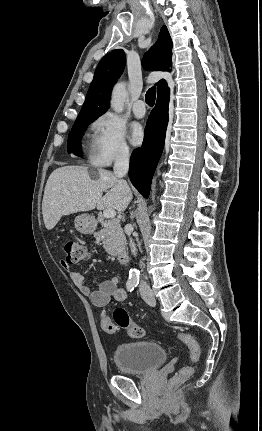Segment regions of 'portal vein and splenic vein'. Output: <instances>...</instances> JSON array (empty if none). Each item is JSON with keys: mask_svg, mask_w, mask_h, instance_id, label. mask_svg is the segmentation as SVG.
<instances>
[{"mask_svg": "<svg viewBox=\"0 0 262 431\" xmlns=\"http://www.w3.org/2000/svg\"><path fill=\"white\" fill-rule=\"evenodd\" d=\"M103 215L105 218L113 219L116 216V212L114 209H106L104 210Z\"/></svg>", "mask_w": 262, "mask_h": 431, "instance_id": "18ae733b", "label": "portal vein and splenic vein"}]
</instances>
